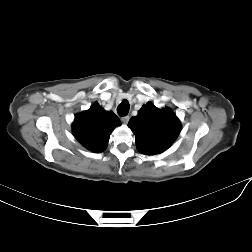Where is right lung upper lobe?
Listing matches in <instances>:
<instances>
[{"instance_id": "1", "label": "right lung upper lobe", "mask_w": 252, "mask_h": 252, "mask_svg": "<svg viewBox=\"0 0 252 252\" xmlns=\"http://www.w3.org/2000/svg\"><path fill=\"white\" fill-rule=\"evenodd\" d=\"M119 118L112 111H105L95 102L89 110L76 115L73 122V134L88 150L94 153L104 151L110 134L120 126Z\"/></svg>"}]
</instances>
